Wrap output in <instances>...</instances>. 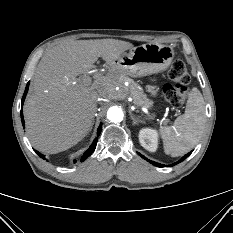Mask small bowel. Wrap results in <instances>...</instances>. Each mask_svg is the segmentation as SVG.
<instances>
[{
	"instance_id": "obj_1",
	"label": "small bowel",
	"mask_w": 233,
	"mask_h": 233,
	"mask_svg": "<svg viewBox=\"0 0 233 233\" xmlns=\"http://www.w3.org/2000/svg\"><path fill=\"white\" fill-rule=\"evenodd\" d=\"M150 91H151V92H154V90H153V89H150Z\"/></svg>"
}]
</instances>
